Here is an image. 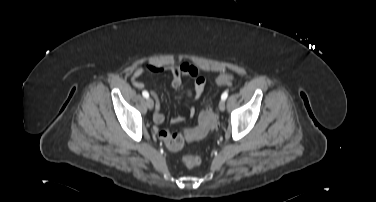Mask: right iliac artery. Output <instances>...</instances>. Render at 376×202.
<instances>
[{"label": "right iliac artery", "mask_w": 376, "mask_h": 202, "mask_svg": "<svg viewBox=\"0 0 376 202\" xmlns=\"http://www.w3.org/2000/svg\"><path fill=\"white\" fill-rule=\"evenodd\" d=\"M142 95H143V97H145V98H148V97H149V93H148L147 91H143V92H142Z\"/></svg>", "instance_id": "right-iliac-artery-1"}]
</instances>
